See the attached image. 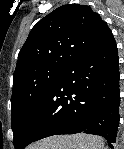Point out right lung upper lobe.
<instances>
[{"instance_id": "obj_1", "label": "right lung upper lobe", "mask_w": 124, "mask_h": 149, "mask_svg": "<svg viewBox=\"0 0 124 149\" xmlns=\"http://www.w3.org/2000/svg\"><path fill=\"white\" fill-rule=\"evenodd\" d=\"M112 39L107 24L89 6L68 4L58 7L30 31L19 52L13 82L39 67L64 68Z\"/></svg>"}]
</instances>
